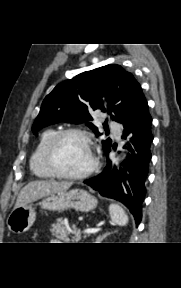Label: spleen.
I'll return each instance as SVG.
<instances>
[{
	"mask_svg": "<svg viewBox=\"0 0 181 288\" xmlns=\"http://www.w3.org/2000/svg\"><path fill=\"white\" fill-rule=\"evenodd\" d=\"M109 214L111 221L114 225L125 226L128 223V215L125 213L124 209L118 204L112 203L109 206Z\"/></svg>",
	"mask_w": 181,
	"mask_h": 288,
	"instance_id": "1",
	"label": "spleen"
}]
</instances>
